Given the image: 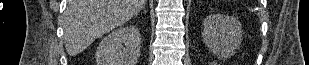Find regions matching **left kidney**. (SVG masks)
<instances>
[{
	"label": "left kidney",
	"mask_w": 309,
	"mask_h": 65,
	"mask_svg": "<svg viewBox=\"0 0 309 65\" xmlns=\"http://www.w3.org/2000/svg\"><path fill=\"white\" fill-rule=\"evenodd\" d=\"M241 29V23L234 17L209 15L203 21V42L217 57L229 58L240 46Z\"/></svg>",
	"instance_id": "left-kidney-1"
}]
</instances>
